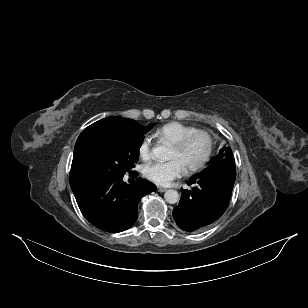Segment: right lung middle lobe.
I'll use <instances>...</instances> for the list:
<instances>
[{
    "label": "right lung middle lobe",
    "mask_w": 308,
    "mask_h": 308,
    "mask_svg": "<svg viewBox=\"0 0 308 308\" xmlns=\"http://www.w3.org/2000/svg\"><path fill=\"white\" fill-rule=\"evenodd\" d=\"M148 126L136 124L129 130L107 132L92 138L85 146L82 168L86 177H123L138 162L139 149Z\"/></svg>",
    "instance_id": "obj_1"
}]
</instances>
